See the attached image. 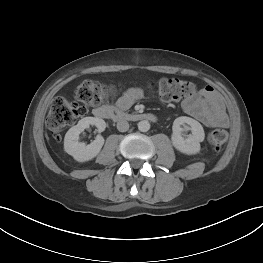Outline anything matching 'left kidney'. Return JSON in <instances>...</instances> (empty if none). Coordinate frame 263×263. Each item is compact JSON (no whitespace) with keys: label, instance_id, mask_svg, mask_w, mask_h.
I'll return each mask as SVG.
<instances>
[{"label":"left kidney","instance_id":"5707ae66","mask_svg":"<svg viewBox=\"0 0 263 263\" xmlns=\"http://www.w3.org/2000/svg\"><path fill=\"white\" fill-rule=\"evenodd\" d=\"M172 130L171 140L177 150L188 155L200 151V142L204 140L205 133L198 121L186 116L178 117L173 122ZM188 130H191L192 134L186 135Z\"/></svg>","mask_w":263,"mask_h":263}]
</instances>
